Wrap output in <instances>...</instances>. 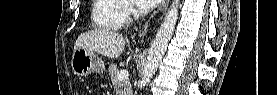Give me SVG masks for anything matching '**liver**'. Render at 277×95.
Wrapping results in <instances>:
<instances>
[{"mask_svg": "<svg viewBox=\"0 0 277 95\" xmlns=\"http://www.w3.org/2000/svg\"><path fill=\"white\" fill-rule=\"evenodd\" d=\"M124 47L125 40L121 34L108 30H94L78 37L74 51L84 48L108 58H117L123 52Z\"/></svg>", "mask_w": 277, "mask_h": 95, "instance_id": "obj_1", "label": "liver"}]
</instances>
